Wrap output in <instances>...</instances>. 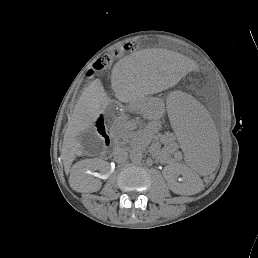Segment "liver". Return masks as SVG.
Instances as JSON below:
<instances>
[{
	"instance_id": "6515ba94",
	"label": "liver",
	"mask_w": 258,
	"mask_h": 258,
	"mask_svg": "<svg viewBox=\"0 0 258 258\" xmlns=\"http://www.w3.org/2000/svg\"><path fill=\"white\" fill-rule=\"evenodd\" d=\"M161 69L158 65L141 58L140 52L131 55L115 64L112 72V88L116 98L121 102H128L135 82L141 76H160ZM110 100L100 79H95L82 93L71 119L68 122L62 146V159L65 171L69 172L75 156L83 153V147L77 136L92 127L100 113L109 104ZM70 171L69 184L78 192H88L90 186L84 181L85 176L78 170ZM77 172V175H73Z\"/></svg>"
}]
</instances>
